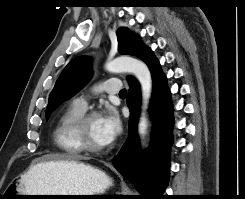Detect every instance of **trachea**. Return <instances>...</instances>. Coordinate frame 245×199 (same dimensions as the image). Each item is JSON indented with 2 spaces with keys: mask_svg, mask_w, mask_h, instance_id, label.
Listing matches in <instances>:
<instances>
[{
  "mask_svg": "<svg viewBox=\"0 0 245 199\" xmlns=\"http://www.w3.org/2000/svg\"><path fill=\"white\" fill-rule=\"evenodd\" d=\"M126 94H127L126 89H122V90L119 92V96H120V97H125Z\"/></svg>",
  "mask_w": 245,
  "mask_h": 199,
  "instance_id": "obj_1",
  "label": "trachea"
}]
</instances>
